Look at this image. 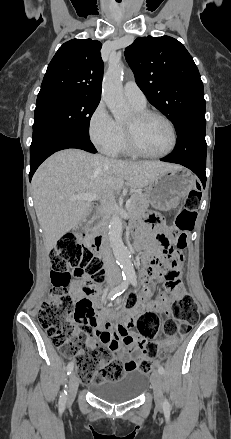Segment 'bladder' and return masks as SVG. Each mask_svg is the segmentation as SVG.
<instances>
[{
  "label": "bladder",
  "mask_w": 231,
  "mask_h": 439,
  "mask_svg": "<svg viewBox=\"0 0 231 439\" xmlns=\"http://www.w3.org/2000/svg\"><path fill=\"white\" fill-rule=\"evenodd\" d=\"M150 380L149 374L139 368L127 369L121 379L94 384L89 387V391L104 401L122 403L141 396Z\"/></svg>",
  "instance_id": "1"
}]
</instances>
